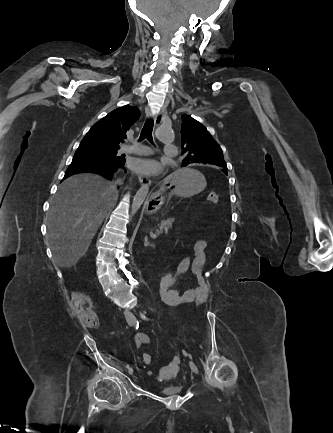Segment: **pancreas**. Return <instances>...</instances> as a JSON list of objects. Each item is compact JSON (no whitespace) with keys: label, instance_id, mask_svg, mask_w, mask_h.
Masks as SVG:
<instances>
[{"label":"pancreas","instance_id":"obj_1","mask_svg":"<svg viewBox=\"0 0 333 433\" xmlns=\"http://www.w3.org/2000/svg\"><path fill=\"white\" fill-rule=\"evenodd\" d=\"M174 218H168L167 220H162L160 224L157 225L158 231L162 232L165 230V233L167 234L168 230L172 228V224L174 222Z\"/></svg>","mask_w":333,"mask_h":433}]
</instances>
